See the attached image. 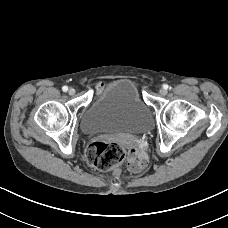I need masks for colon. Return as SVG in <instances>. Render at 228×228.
<instances>
[{"mask_svg": "<svg viewBox=\"0 0 228 228\" xmlns=\"http://www.w3.org/2000/svg\"><path fill=\"white\" fill-rule=\"evenodd\" d=\"M125 158V149L114 141H97L86 152L87 163L99 170H110Z\"/></svg>", "mask_w": 228, "mask_h": 228, "instance_id": "colon-1", "label": "colon"}]
</instances>
